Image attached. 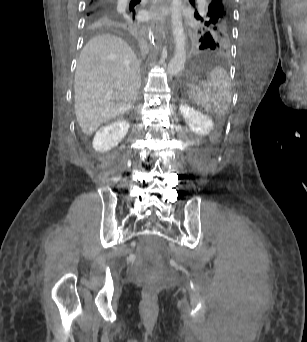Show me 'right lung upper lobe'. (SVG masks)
Returning a JSON list of instances; mask_svg holds the SVG:
<instances>
[{
	"instance_id": "cb5924a9",
	"label": "right lung upper lobe",
	"mask_w": 307,
	"mask_h": 342,
	"mask_svg": "<svg viewBox=\"0 0 307 342\" xmlns=\"http://www.w3.org/2000/svg\"><path fill=\"white\" fill-rule=\"evenodd\" d=\"M131 0H87L85 29L90 33H112L139 37L143 32L141 11Z\"/></svg>"
}]
</instances>
